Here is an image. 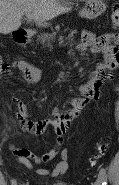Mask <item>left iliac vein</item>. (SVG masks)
<instances>
[{
	"label": "left iliac vein",
	"instance_id": "obj_1",
	"mask_svg": "<svg viewBox=\"0 0 119 185\" xmlns=\"http://www.w3.org/2000/svg\"><path fill=\"white\" fill-rule=\"evenodd\" d=\"M102 183H103V179H102L101 175H99L96 180V185H102Z\"/></svg>",
	"mask_w": 119,
	"mask_h": 185
}]
</instances>
